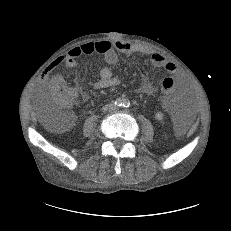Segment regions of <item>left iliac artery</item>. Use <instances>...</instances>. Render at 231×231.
<instances>
[{
	"instance_id": "44dca946",
	"label": "left iliac artery",
	"mask_w": 231,
	"mask_h": 231,
	"mask_svg": "<svg viewBox=\"0 0 231 231\" xmlns=\"http://www.w3.org/2000/svg\"><path fill=\"white\" fill-rule=\"evenodd\" d=\"M123 106L126 107V108L129 107L130 106V102L128 100H124L123 101Z\"/></svg>"
}]
</instances>
